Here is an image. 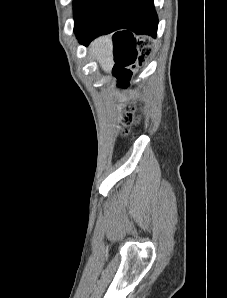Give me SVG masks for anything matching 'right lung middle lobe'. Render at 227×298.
<instances>
[{
    "instance_id": "obj_1",
    "label": "right lung middle lobe",
    "mask_w": 227,
    "mask_h": 298,
    "mask_svg": "<svg viewBox=\"0 0 227 298\" xmlns=\"http://www.w3.org/2000/svg\"><path fill=\"white\" fill-rule=\"evenodd\" d=\"M111 0H74V31L80 32Z\"/></svg>"
}]
</instances>
